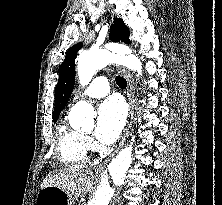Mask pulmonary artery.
Listing matches in <instances>:
<instances>
[{
    "label": "pulmonary artery",
    "instance_id": "e3ab8cb5",
    "mask_svg": "<svg viewBox=\"0 0 222 205\" xmlns=\"http://www.w3.org/2000/svg\"><path fill=\"white\" fill-rule=\"evenodd\" d=\"M110 92L109 82L104 77H96L91 83L81 91L77 99L82 98H100L108 95Z\"/></svg>",
    "mask_w": 222,
    "mask_h": 205
}]
</instances>
